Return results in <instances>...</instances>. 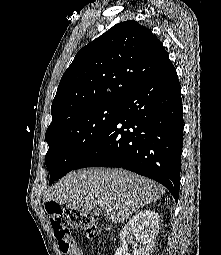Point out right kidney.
I'll use <instances>...</instances> for the list:
<instances>
[{
	"label": "right kidney",
	"instance_id": "1",
	"mask_svg": "<svg viewBox=\"0 0 221 255\" xmlns=\"http://www.w3.org/2000/svg\"><path fill=\"white\" fill-rule=\"evenodd\" d=\"M158 230L159 216L155 211L138 212L122 228L119 237L121 246L117 248L115 255H128L129 243L134 245L133 255H149Z\"/></svg>",
	"mask_w": 221,
	"mask_h": 255
}]
</instances>
